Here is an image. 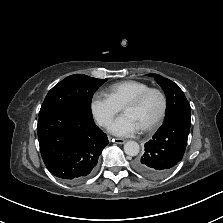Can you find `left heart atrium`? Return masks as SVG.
I'll return each instance as SVG.
<instances>
[{
	"mask_svg": "<svg viewBox=\"0 0 223 223\" xmlns=\"http://www.w3.org/2000/svg\"><path fill=\"white\" fill-rule=\"evenodd\" d=\"M140 130L138 124L128 115L118 117L109 126V131L119 137H128Z\"/></svg>",
	"mask_w": 223,
	"mask_h": 223,
	"instance_id": "left-heart-atrium-1",
	"label": "left heart atrium"
}]
</instances>
